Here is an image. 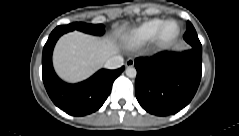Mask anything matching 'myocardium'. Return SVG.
Listing matches in <instances>:
<instances>
[{
    "instance_id": "obj_1",
    "label": "myocardium",
    "mask_w": 239,
    "mask_h": 136,
    "mask_svg": "<svg viewBox=\"0 0 239 136\" xmlns=\"http://www.w3.org/2000/svg\"><path fill=\"white\" fill-rule=\"evenodd\" d=\"M172 24H176V23L170 21V22L164 23V24L160 27V29H159V31H158V33H157V35H156V41H157L158 44H160V45H162V46L168 45V41L164 38V32H165V30H166L170 25H172ZM178 34H179V29L177 30L176 35H178ZM176 35H175V36H176Z\"/></svg>"
}]
</instances>
